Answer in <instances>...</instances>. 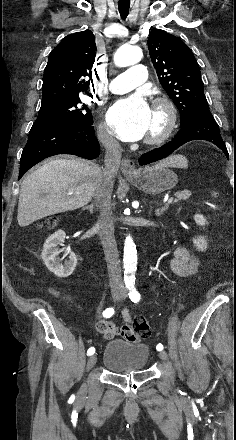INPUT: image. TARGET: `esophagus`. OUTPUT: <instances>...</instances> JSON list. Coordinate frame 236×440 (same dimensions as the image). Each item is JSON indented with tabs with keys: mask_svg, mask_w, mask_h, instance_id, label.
<instances>
[{
	"mask_svg": "<svg viewBox=\"0 0 236 440\" xmlns=\"http://www.w3.org/2000/svg\"><path fill=\"white\" fill-rule=\"evenodd\" d=\"M121 170L126 177L136 175V168L133 160L123 159L121 162Z\"/></svg>",
	"mask_w": 236,
	"mask_h": 440,
	"instance_id": "obj_1",
	"label": "esophagus"
}]
</instances>
